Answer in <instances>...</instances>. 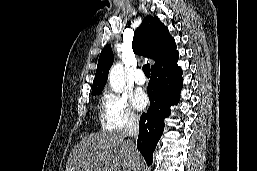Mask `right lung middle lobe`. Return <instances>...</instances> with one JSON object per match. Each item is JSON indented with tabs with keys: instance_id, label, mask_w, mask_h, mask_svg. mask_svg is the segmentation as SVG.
<instances>
[{
	"instance_id": "1",
	"label": "right lung middle lobe",
	"mask_w": 257,
	"mask_h": 171,
	"mask_svg": "<svg viewBox=\"0 0 257 171\" xmlns=\"http://www.w3.org/2000/svg\"><path fill=\"white\" fill-rule=\"evenodd\" d=\"M101 93V92H100ZM100 93H95V94H93V95H99Z\"/></svg>"
}]
</instances>
